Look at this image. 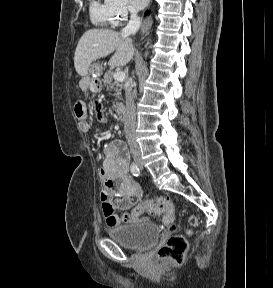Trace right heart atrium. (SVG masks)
Listing matches in <instances>:
<instances>
[{"mask_svg":"<svg viewBox=\"0 0 273 288\" xmlns=\"http://www.w3.org/2000/svg\"><path fill=\"white\" fill-rule=\"evenodd\" d=\"M105 2L114 25L122 24L136 13L129 0H105Z\"/></svg>","mask_w":273,"mask_h":288,"instance_id":"obj_1","label":"right heart atrium"}]
</instances>
